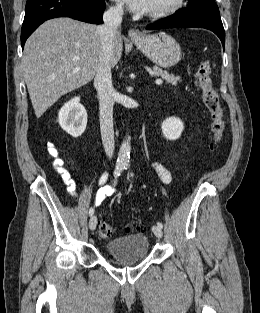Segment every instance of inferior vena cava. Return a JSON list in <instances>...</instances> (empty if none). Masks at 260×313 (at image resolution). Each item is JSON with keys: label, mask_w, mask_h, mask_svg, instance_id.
Wrapping results in <instances>:
<instances>
[{"label": "inferior vena cava", "mask_w": 260, "mask_h": 313, "mask_svg": "<svg viewBox=\"0 0 260 313\" xmlns=\"http://www.w3.org/2000/svg\"><path fill=\"white\" fill-rule=\"evenodd\" d=\"M122 6L110 7L103 15V24L99 26L101 52L94 78V86L98 92L100 109V129L106 155L112 158L114 153L113 106L114 89L111 75V56L113 41L122 23Z\"/></svg>", "instance_id": "1"}]
</instances>
